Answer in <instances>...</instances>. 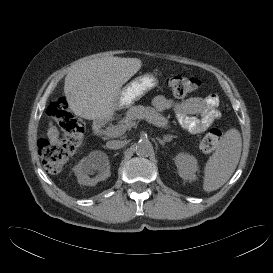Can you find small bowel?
<instances>
[{"label": "small bowel", "mask_w": 273, "mask_h": 273, "mask_svg": "<svg viewBox=\"0 0 273 273\" xmlns=\"http://www.w3.org/2000/svg\"><path fill=\"white\" fill-rule=\"evenodd\" d=\"M153 106L158 111H174L179 123L191 134L205 132L221 117L218 109L219 98L216 94L194 97L179 103L159 95L153 99Z\"/></svg>", "instance_id": "obj_1"}]
</instances>
